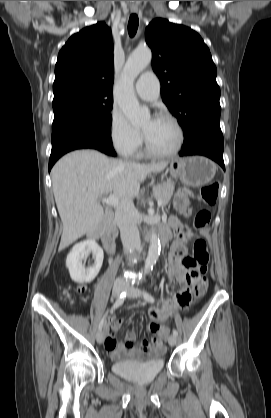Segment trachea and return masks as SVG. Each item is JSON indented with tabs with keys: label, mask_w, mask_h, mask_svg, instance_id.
<instances>
[{
	"label": "trachea",
	"mask_w": 271,
	"mask_h": 418,
	"mask_svg": "<svg viewBox=\"0 0 271 418\" xmlns=\"http://www.w3.org/2000/svg\"><path fill=\"white\" fill-rule=\"evenodd\" d=\"M138 24H139L138 16L136 14H132L128 22V33L130 37H133L136 34L137 29H138Z\"/></svg>",
	"instance_id": "1"
}]
</instances>
